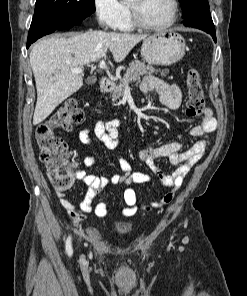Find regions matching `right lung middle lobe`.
<instances>
[{
	"mask_svg": "<svg viewBox=\"0 0 247 296\" xmlns=\"http://www.w3.org/2000/svg\"><path fill=\"white\" fill-rule=\"evenodd\" d=\"M94 11V0H36L32 23H39L51 17L60 21L78 22Z\"/></svg>",
	"mask_w": 247,
	"mask_h": 296,
	"instance_id": "1",
	"label": "right lung middle lobe"
}]
</instances>
